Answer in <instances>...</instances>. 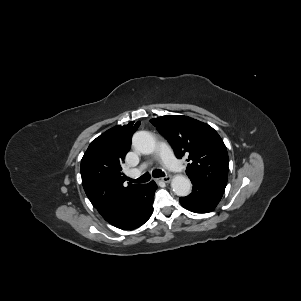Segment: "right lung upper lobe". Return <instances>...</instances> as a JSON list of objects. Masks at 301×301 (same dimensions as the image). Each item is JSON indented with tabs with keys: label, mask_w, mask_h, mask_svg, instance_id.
Returning <instances> with one entry per match:
<instances>
[{
	"label": "right lung upper lobe",
	"mask_w": 301,
	"mask_h": 301,
	"mask_svg": "<svg viewBox=\"0 0 301 301\" xmlns=\"http://www.w3.org/2000/svg\"><path fill=\"white\" fill-rule=\"evenodd\" d=\"M140 122L115 126L91 142L81 160L85 193L103 218L114 224L126 211L141 185L128 183L121 172L130 140Z\"/></svg>",
	"instance_id": "right-lung-upper-lobe-1"
}]
</instances>
